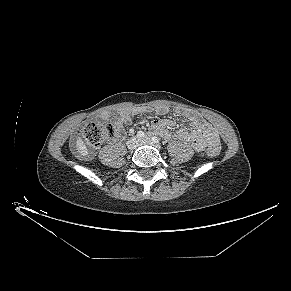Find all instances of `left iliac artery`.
I'll use <instances>...</instances> for the list:
<instances>
[{
    "mask_svg": "<svg viewBox=\"0 0 291 291\" xmlns=\"http://www.w3.org/2000/svg\"><path fill=\"white\" fill-rule=\"evenodd\" d=\"M151 139L154 143H160L159 138H157L156 136H153Z\"/></svg>",
    "mask_w": 291,
    "mask_h": 291,
    "instance_id": "1",
    "label": "left iliac artery"
}]
</instances>
